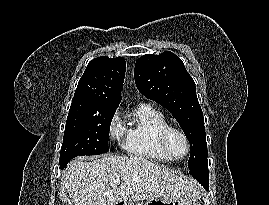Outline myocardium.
I'll return each instance as SVG.
<instances>
[{"label": "myocardium", "instance_id": "1", "mask_svg": "<svg viewBox=\"0 0 269 205\" xmlns=\"http://www.w3.org/2000/svg\"><path fill=\"white\" fill-rule=\"evenodd\" d=\"M174 132L179 133L184 138L185 143H186L187 150H186L185 155L182 157L175 156L169 148V137ZM157 142H158V146L161 152L172 161L183 160L187 158L191 152V142L187 133L182 128L177 127V126L168 125L164 127L163 129H161L157 137Z\"/></svg>", "mask_w": 269, "mask_h": 205}]
</instances>
